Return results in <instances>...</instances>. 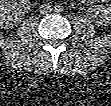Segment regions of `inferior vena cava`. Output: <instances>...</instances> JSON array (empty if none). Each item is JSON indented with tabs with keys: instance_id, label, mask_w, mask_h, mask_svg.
I'll return each mask as SVG.
<instances>
[{
	"instance_id": "1",
	"label": "inferior vena cava",
	"mask_w": 111,
	"mask_h": 106,
	"mask_svg": "<svg viewBox=\"0 0 111 106\" xmlns=\"http://www.w3.org/2000/svg\"><path fill=\"white\" fill-rule=\"evenodd\" d=\"M51 11H52V8H51V6L48 5V4H43V5H41L40 10H39V12H40L41 14H48V13H50Z\"/></svg>"
}]
</instances>
